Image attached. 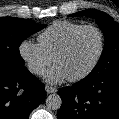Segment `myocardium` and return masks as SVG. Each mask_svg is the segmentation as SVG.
I'll use <instances>...</instances> for the list:
<instances>
[{
  "mask_svg": "<svg viewBox=\"0 0 119 119\" xmlns=\"http://www.w3.org/2000/svg\"><path fill=\"white\" fill-rule=\"evenodd\" d=\"M88 29L95 30L99 35L100 46H99L98 53H97L95 59L93 60V62L90 64V66L85 71H83L79 75L67 78V80L70 82H79V81L87 78L98 66V64L103 56L104 50H105V37H104L102 30L99 27L92 25V24L83 25L82 27H80L79 29H77L70 35V37L67 39V41L64 43V45L57 51V53L53 57V63L56 64L57 60L70 50V48L72 47V45H73L75 39L78 37V35Z\"/></svg>",
  "mask_w": 119,
  "mask_h": 119,
  "instance_id": "f54148a6",
  "label": "myocardium"
}]
</instances>
